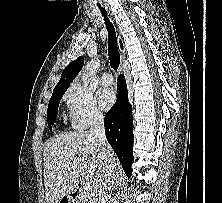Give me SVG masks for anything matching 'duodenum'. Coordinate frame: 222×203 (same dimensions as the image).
Returning <instances> with one entry per match:
<instances>
[{"instance_id":"1","label":"duodenum","mask_w":222,"mask_h":203,"mask_svg":"<svg viewBox=\"0 0 222 203\" xmlns=\"http://www.w3.org/2000/svg\"><path fill=\"white\" fill-rule=\"evenodd\" d=\"M86 194L81 189H74L69 194V201L73 203H86ZM62 203H68V201H63Z\"/></svg>"}]
</instances>
